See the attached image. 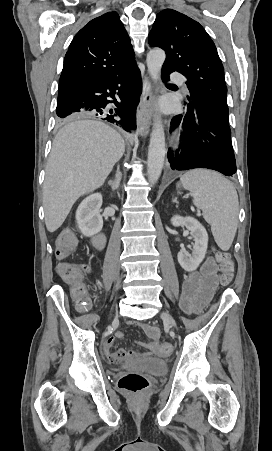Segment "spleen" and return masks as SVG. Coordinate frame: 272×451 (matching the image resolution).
I'll list each match as a JSON object with an SVG mask.
<instances>
[{
    "instance_id": "3e777b00",
    "label": "spleen",
    "mask_w": 272,
    "mask_h": 451,
    "mask_svg": "<svg viewBox=\"0 0 272 451\" xmlns=\"http://www.w3.org/2000/svg\"><path fill=\"white\" fill-rule=\"evenodd\" d=\"M180 182L194 196L193 204L202 210L217 245L227 251L238 226L239 202L233 184L222 174L202 168L186 172Z\"/></svg>"
}]
</instances>
